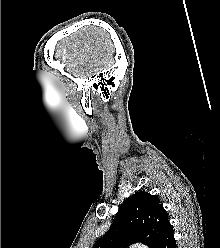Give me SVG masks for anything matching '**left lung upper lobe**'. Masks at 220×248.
Segmentation results:
<instances>
[{"mask_svg":"<svg viewBox=\"0 0 220 248\" xmlns=\"http://www.w3.org/2000/svg\"><path fill=\"white\" fill-rule=\"evenodd\" d=\"M170 225L159 198L146 192H138L126 198L115 222L93 248H126L136 242L155 248Z\"/></svg>","mask_w":220,"mask_h":248,"instance_id":"5c2ea615","label":"left lung upper lobe"}]
</instances>
